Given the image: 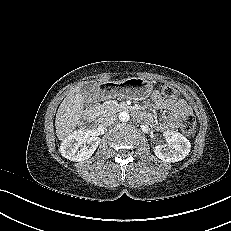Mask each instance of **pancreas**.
<instances>
[{"label":"pancreas","mask_w":231,"mask_h":231,"mask_svg":"<svg viewBox=\"0 0 231 231\" xmlns=\"http://www.w3.org/2000/svg\"><path fill=\"white\" fill-rule=\"evenodd\" d=\"M121 109L120 105L115 101H106L103 104L99 105L97 110L100 115L108 113H116Z\"/></svg>","instance_id":"1"}]
</instances>
